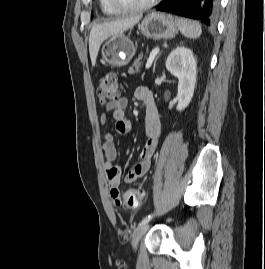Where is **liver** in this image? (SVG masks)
<instances>
[{
	"instance_id": "1",
	"label": "liver",
	"mask_w": 265,
	"mask_h": 269,
	"mask_svg": "<svg viewBox=\"0 0 265 269\" xmlns=\"http://www.w3.org/2000/svg\"><path fill=\"white\" fill-rule=\"evenodd\" d=\"M141 18L142 15H137L94 25L89 36V53L92 65L95 66L100 46L106 39L122 34L137 24Z\"/></svg>"
}]
</instances>
